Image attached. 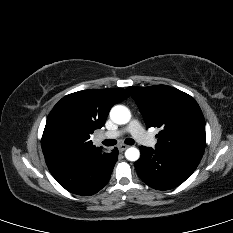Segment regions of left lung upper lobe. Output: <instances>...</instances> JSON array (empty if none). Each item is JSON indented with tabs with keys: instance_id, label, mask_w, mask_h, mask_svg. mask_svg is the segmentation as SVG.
I'll return each instance as SVG.
<instances>
[{
	"instance_id": "1",
	"label": "left lung upper lobe",
	"mask_w": 233,
	"mask_h": 233,
	"mask_svg": "<svg viewBox=\"0 0 233 233\" xmlns=\"http://www.w3.org/2000/svg\"><path fill=\"white\" fill-rule=\"evenodd\" d=\"M147 127L160 128L156 148L204 153L205 120L197 102L187 93L167 85L128 87Z\"/></svg>"
}]
</instances>
